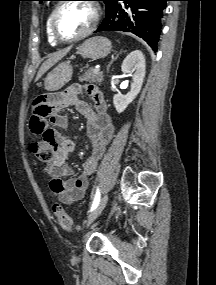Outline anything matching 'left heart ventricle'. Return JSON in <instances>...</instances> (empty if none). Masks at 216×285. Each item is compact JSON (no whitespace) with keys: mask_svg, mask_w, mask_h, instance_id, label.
Listing matches in <instances>:
<instances>
[{"mask_svg":"<svg viewBox=\"0 0 216 285\" xmlns=\"http://www.w3.org/2000/svg\"><path fill=\"white\" fill-rule=\"evenodd\" d=\"M94 11L87 3H69L64 6L56 21L58 33L66 38L83 33L93 22Z\"/></svg>","mask_w":216,"mask_h":285,"instance_id":"obj_1","label":"left heart ventricle"}]
</instances>
